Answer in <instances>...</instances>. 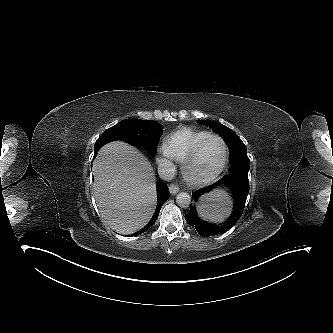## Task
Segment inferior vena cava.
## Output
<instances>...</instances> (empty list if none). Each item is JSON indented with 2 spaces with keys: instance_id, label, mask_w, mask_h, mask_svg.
I'll return each instance as SVG.
<instances>
[{
  "instance_id": "inferior-vena-cava-1",
  "label": "inferior vena cava",
  "mask_w": 333,
  "mask_h": 333,
  "mask_svg": "<svg viewBox=\"0 0 333 333\" xmlns=\"http://www.w3.org/2000/svg\"><path fill=\"white\" fill-rule=\"evenodd\" d=\"M176 173L174 164L168 159H161L158 164V174L161 179L169 181L173 179Z\"/></svg>"
}]
</instances>
